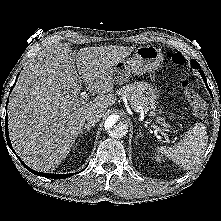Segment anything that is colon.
Here are the masks:
<instances>
[{"label":"colon","mask_w":221,"mask_h":221,"mask_svg":"<svg viewBox=\"0 0 221 221\" xmlns=\"http://www.w3.org/2000/svg\"><path fill=\"white\" fill-rule=\"evenodd\" d=\"M171 58H172V61L177 65H181L185 61L184 57L179 53L171 54ZM180 85L186 98L193 106L195 115L202 120H206L207 118L206 102L203 100L202 97H200L195 92V90L191 87L190 83L188 82L185 76L181 77Z\"/></svg>","instance_id":"1"}]
</instances>
